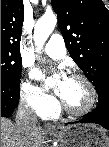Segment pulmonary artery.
<instances>
[{"label":"pulmonary artery","mask_w":109,"mask_h":147,"mask_svg":"<svg viewBox=\"0 0 109 147\" xmlns=\"http://www.w3.org/2000/svg\"><path fill=\"white\" fill-rule=\"evenodd\" d=\"M43 52L56 60L64 58L67 51L63 37L60 34H53L45 45ZM41 118L45 119L43 116Z\"/></svg>","instance_id":"1"}]
</instances>
